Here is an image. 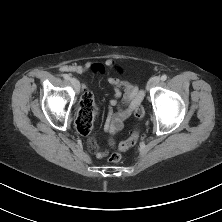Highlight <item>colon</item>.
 <instances>
[{"instance_id":"colon-1","label":"colon","mask_w":222,"mask_h":222,"mask_svg":"<svg viewBox=\"0 0 222 222\" xmlns=\"http://www.w3.org/2000/svg\"><path fill=\"white\" fill-rule=\"evenodd\" d=\"M144 108L142 106L137 107L135 111V116L138 119H142L144 116ZM97 115V107L94 101L93 94L89 90L83 91L80 104H79V112L76 118V128L80 134L87 135L89 133V129L92 127L95 116ZM139 139V131L134 130L131 136L120 142L117 146L119 151H125L131 147H133ZM121 153L114 152L110 155L109 161L112 163L119 162L121 160Z\"/></svg>"}]
</instances>
